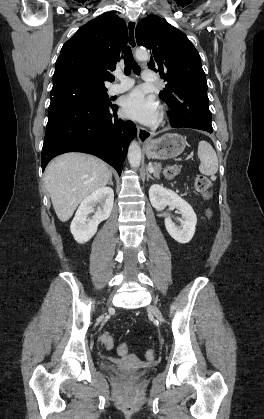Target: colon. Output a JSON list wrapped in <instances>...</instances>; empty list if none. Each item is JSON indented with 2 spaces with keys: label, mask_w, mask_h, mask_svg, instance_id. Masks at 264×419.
Listing matches in <instances>:
<instances>
[{
  "label": "colon",
  "mask_w": 264,
  "mask_h": 419,
  "mask_svg": "<svg viewBox=\"0 0 264 419\" xmlns=\"http://www.w3.org/2000/svg\"><path fill=\"white\" fill-rule=\"evenodd\" d=\"M180 173V166L178 164H171L165 167L164 169V175L167 179H173L177 177ZM211 180L206 176H198L194 180V187L195 189L204 195L205 197H208L211 190ZM101 342L106 349H111L113 347V337L109 333L103 334L101 338ZM122 351L124 353H128L129 348L128 345L125 344L123 346ZM146 359L148 361H152L155 359V352L153 350H148L145 354Z\"/></svg>",
  "instance_id": "obj_1"
}]
</instances>
